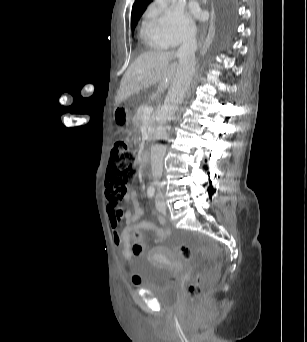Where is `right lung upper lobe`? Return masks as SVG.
<instances>
[{"label":"right lung upper lobe","instance_id":"obj_1","mask_svg":"<svg viewBox=\"0 0 307 342\" xmlns=\"http://www.w3.org/2000/svg\"><path fill=\"white\" fill-rule=\"evenodd\" d=\"M152 0H135V3L132 7V15H131V27H134L137 24L142 13L145 11L147 4H149ZM231 7L230 0H216L213 7V13L210 20V31L212 33L220 30L227 18L228 12Z\"/></svg>","mask_w":307,"mask_h":342}]
</instances>
